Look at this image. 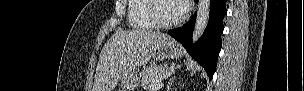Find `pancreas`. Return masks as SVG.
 Instances as JSON below:
<instances>
[{
    "label": "pancreas",
    "mask_w": 304,
    "mask_h": 91,
    "mask_svg": "<svg viewBox=\"0 0 304 91\" xmlns=\"http://www.w3.org/2000/svg\"><path fill=\"white\" fill-rule=\"evenodd\" d=\"M166 72L167 68L163 66H151L146 68L140 74L141 86L145 90L151 91V87L160 83Z\"/></svg>",
    "instance_id": "cf45deb5"
}]
</instances>
